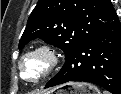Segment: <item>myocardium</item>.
<instances>
[{
  "instance_id": "obj_1",
  "label": "myocardium",
  "mask_w": 121,
  "mask_h": 94,
  "mask_svg": "<svg viewBox=\"0 0 121 94\" xmlns=\"http://www.w3.org/2000/svg\"><path fill=\"white\" fill-rule=\"evenodd\" d=\"M33 57H41L44 60L45 63V69L43 73L36 79H30L27 77H24V80L32 83V84H39L47 80L56 70L58 64H59V55L57 50L47 44H42L39 46H36L28 51H26L18 61V68L19 71L24 74V62Z\"/></svg>"
}]
</instances>
